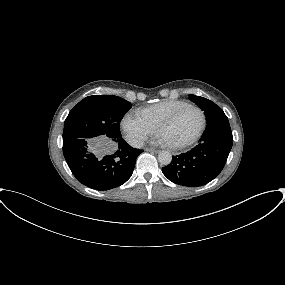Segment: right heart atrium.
I'll return each instance as SVG.
<instances>
[{
  "label": "right heart atrium",
  "mask_w": 285,
  "mask_h": 285,
  "mask_svg": "<svg viewBox=\"0 0 285 285\" xmlns=\"http://www.w3.org/2000/svg\"><path fill=\"white\" fill-rule=\"evenodd\" d=\"M122 128L128 141L133 146H141L144 141L155 133V128L138 114L128 112L122 119Z\"/></svg>",
  "instance_id": "obj_1"
}]
</instances>
